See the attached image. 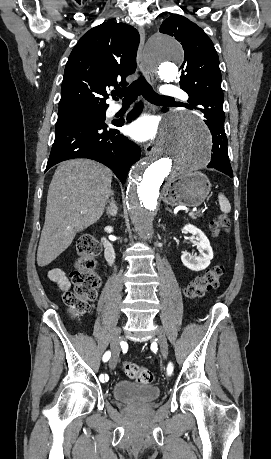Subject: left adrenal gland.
<instances>
[{
    "mask_svg": "<svg viewBox=\"0 0 271 459\" xmlns=\"http://www.w3.org/2000/svg\"><path fill=\"white\" fill-rule=\"evenodd\" d=\"M165 210H168V212H171L170 208H165Z\"/></svg>",
    "mask_w": 271,
    "mask_h": 459,
    "instance_id": "left-adrenal-gland-1",
    "label": "left adrenal gland"
}]
</instances>
